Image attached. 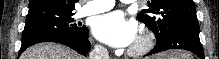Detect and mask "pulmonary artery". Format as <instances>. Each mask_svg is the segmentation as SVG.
Instances as JSON below:
<instances>
[{
  "label": "pulmonary artery",
  "instance_id": "e3ab8cb5",
  "mask_svg": "<svg viewBox=\"0 0 219 59\" xmlns=\"http://www.w3.org/2000/svg\"><path fill=\"white\" fill-rule=\"evenodd\" d=\"M113 6L114 1L112 0H92L88 1V3L81 8L80 14L81 16L98 14L111 9Z\"/></svg>",
  "mask_w": 219,
  "mask_h": 59
}]
</instances>
